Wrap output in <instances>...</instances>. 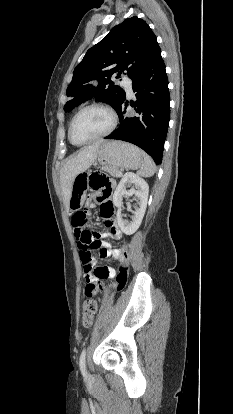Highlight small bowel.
I'll return each instance as SVG.
<instances>
[{
    "label": "small bowel",
    "mask_w": 233,
    "mask_h": 414,
    "mask_svg": "<svg viewBox=\"0 0 233 414\" xmlns=\"http://www.w3.org/2000/svg\"><path fill=\"white\" fill-rule=\"evenodd\" d=\"M99 195L100 194L96 192L97 198L99 197ZM110 198H111V196L108 198V201L111 202ZM113 214H114V212L108 217H103L102 216L104 221H105L106 226L109 228V232L106 233V235L111 237L114 240H119L122 237V232H121L119 226L117 225V222L113 217ZM75 235L77 237L76 229H75ZM101 252L103 254V257H105V258H115L116 259L117 250L112 249L108 245H102ZM106 270H107V274H106L105 278L114 277L116 275V271L113 268L106 267ZM85 280H86L87 284H95V285L100 284V282H99L100 278L96 274V271H95L94 268L90 271H85Z\"/></svg>",
    "instance_id": "1"
}]
</instances>
